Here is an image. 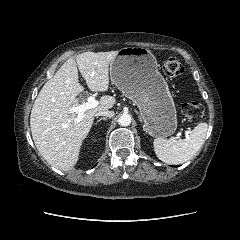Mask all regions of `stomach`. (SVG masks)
<instances>
[{
    "instance_id": "stomach-1",
    "label": "stomach",
    "mask_w": 240,
    "mask_h": 240,
    "mask_svg": "<svg viewBox=\"0 0 240 240\" xmlns=\"http://www.w3.org/2000/svg\"><path fill=\"white\" fill-rule=\"evenodd\" d=\"M112 83L140 110L144 129L153 137H167L177 129L172 95L152 52L143 47H125L110 64Z\"/></svg>"
}]
</instances>
